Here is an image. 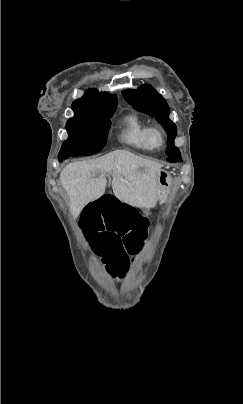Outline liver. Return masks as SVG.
I'll list each match as a JSON object with an SVG mask.
<instances>
[{
	"label": "liver",
	"mask_w": 243,
	"mask_h": 404,
	"mask_svg": "<svg viewBox=\"0 0 243 404\" xmlns=\"http://www.w3.org/2000/svg\"><path fill=\"white\" fill-rule=\"evenodd\" d=\"M161 168L162 164L127 150H115L101 158L67 164L60 174V182L71 198L75 220L86 204L105 194L107 174L113 178L112 190L118 200L150 210L159 200L155 182Z\"/></svg>",
	"instance_id": "6515ba94"
}]
</instances>
